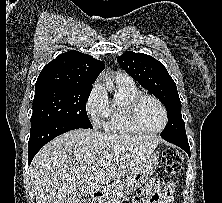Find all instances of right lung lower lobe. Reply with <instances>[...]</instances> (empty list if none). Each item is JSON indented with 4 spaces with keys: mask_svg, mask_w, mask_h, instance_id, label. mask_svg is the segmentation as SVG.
Here are the masks:
<instances>
[{
    "mask_svg": "<svg viewBox=\"0 0 222 203\" xmlns=\"http://www.w3.org/2000/svg\"><path fill=\"white\" fill-rule=\"evenodd\" d=\"M90 128L73 122L51 121L31 127L28 142V164L32 162L36 153L53 138L73 129Z\"/></svg>",
    "mask_w": 222,
    "mask_h": 203,
    "instance_id": "obj_1",
    "label": "right lung lower lobe"
}]
</instances>
